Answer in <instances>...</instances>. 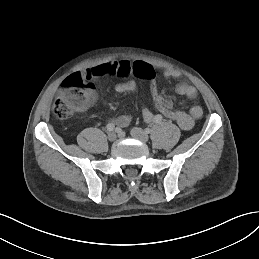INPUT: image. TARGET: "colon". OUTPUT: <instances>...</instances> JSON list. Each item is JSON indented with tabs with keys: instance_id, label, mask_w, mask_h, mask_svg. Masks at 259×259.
I'll return each mask as SVG.
<instances>
[{
	"instance_id": "1",
	"label": "colon",
	"mask_w": 259,
	"mask_h": 259,
	"mask_svg": "<svg viewBox=\"0 0 259 259\" xmlns=\"http://www.w3.org/2000/svg\"><path fill=\"white\" fill-rule=\"evenodd\" d=\"M93 99L92 85L81 74L68 76L55 100L53 111L58 118H68L75 112L84 110ZM181 113L173 114L169 119L176 121Z\"/></svg>"
}]
</instances>
